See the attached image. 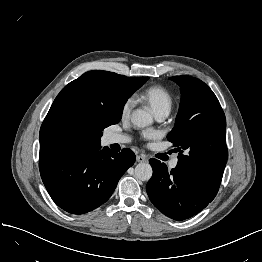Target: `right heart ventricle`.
I'll list each match as a JSON object with an SVG mask.
<instances>
[{
    "label": "right heart ventricle",
    "mask_w": 262,
    "mask_h": 262,
    "mask_svg": "<svg viewBox=\"0 0 262 262\" xmlns=\"http://www.w3.org/2000/svg\"><path fill=\"white\" fill-rule=\"evenodd\" d=\"M141 98L151 106L155 114L163 110L170 111L173 104V97L170 92L159 85L146 88L142 92Z\"/></svg>",
    "instance_id": "obj_1"
}]
</instances>
